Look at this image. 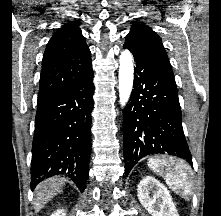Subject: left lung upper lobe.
Wrapping results in <instances>:
<instances>
[{
	"instance_id": "left-lung-upper-lobe-1",
	"label": "left lung upper lobe",
	"mask_w": 221,
	"mask_h": 216,
	"mask_svg": "<svg viewBox=\"0 0 221 216\" xmlns=\"http://www.w3.org/2000/svg\"><path fill=\"white\" fill-rule=\"evenodd\" d=\"M125 44L134 47L136 51L146 56L162 61L170 66L161 38L147 25L135 22L126 36Z\"/></svg>"
}]
</instances>
